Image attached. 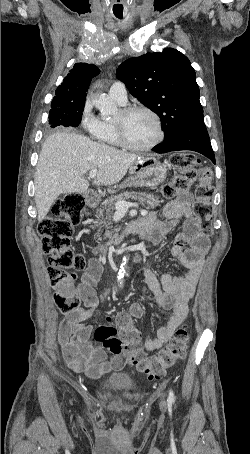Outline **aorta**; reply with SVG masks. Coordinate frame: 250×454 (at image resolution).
<instances>
[{
  "label": "aorta",
  "instance_id": "1",
  "mask_svg": "<svg viewBox=\"0 0 250 454\" xmlns=\"http://www.w3.org/2000/svg\"><path fill=\"white\" fill-rule=\"evenodd\" d=\"M94 105L96 106L97 109L101 111L103 115H110L114 113L117 110L116 105L114 102L109 99L105 94H100L93 100ZM128 259L126 257L123 258V262L120 266V270L118 273V286L122 287L123 286V278L125 274V268L127 264Z\"/></svg>",
  "mask_w": 250,
  "mask_h": 454
}]
</instances>
